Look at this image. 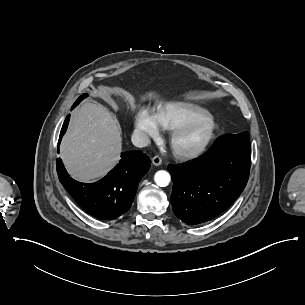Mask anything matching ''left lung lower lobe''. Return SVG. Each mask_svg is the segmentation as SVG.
Instances as JSON below:
<instances>
[{"label":"left lung lower lobe","mask_w":305,"mask_h":305,"mask_svg":"<svg viewBox=\"0 0 305 305\" xmlns=\"http://www.w3.org/2000/svg\"><path fill=\"white\" fill-rule=\"evenodd\" d=\"M250 165L248 132L223 135L202 157L181 165H169L174 214L188 225L201 224L218 216L243 192Z\"/></svg>","instance_id":"obj_1"}]
</instances>
